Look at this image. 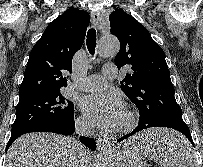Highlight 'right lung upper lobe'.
Instances as JSON below:
<instances>
[{"label": "right lung upper lobe", "mask_w": 203, "mask_h": 167, "mask_svg": "<svg viewBox=\"0 0 203 167\" xmlns=\"http://www.w3.org/2000/svg\"><path fill=\"white\" fill-rule=\"evenodd\" d=\"M90 16L70 8L53 20L32 48L19 89V102L67 86L72 58L82 47Z\"/></svg>", "instance_id": "1"}]
</instances>
